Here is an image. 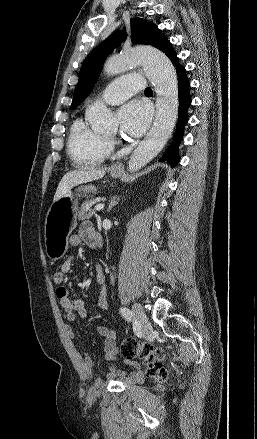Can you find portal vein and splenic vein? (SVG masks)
<instances>
[{"label": "portal vein and splenic vein", "instance_id": "1", "mask_svg": "<svg viewBox=\"0 0 257 439\" xmlns=\"http://www.w3.org/2000/svg\"><path fill=\"white\" fill-rule=\"evenodd\" d=\"M104 204L103 203H99V204H97L96 206H95V210L96 211H100V210H102L103 208H104Z\"/></svg>", "mask_w": 257, "mask_h": 439}]
</instances>
